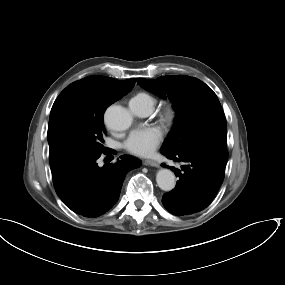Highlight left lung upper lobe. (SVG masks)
<instances>
[{"label": "left lung upper lobe", "instance_id": "left-lung-upper-lobe-1", "mask_svg": "<svg viewBox=\"0 0 285 285\" xmlns=\"http://www.w3.org/2000/svg\"><path fill=\"white\" fill-rule=\"evenodd\" d=\"M138 83L159 96L168 97L176 111L172 131L160 151L177 152L200 146L225 149L226 119L213 90L201 80L186 75L161 76Z\"/></svg>", "mask_w": 285, "mask_h": 285}]
</instances>
